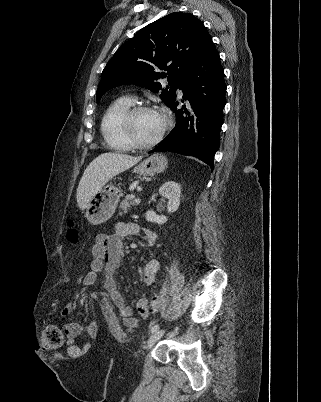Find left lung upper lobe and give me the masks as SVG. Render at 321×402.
I'll list each match as a JSON object with an SVG mask.
<instances>
[{
	"instance_id": "obj_1",
	"label": "left lung upper lobe",
	"mask_w": 321,
	"mask_h": 402,
	"mask_svg": "<svg viewBox=\"0 0 321 402\" xmlns=\"http://www.w3.org/2000/svg\"><path fill=\"white\" fill-rule=\"evenodd\" d=\"M200 20L189 13H171L139 30L122 45L102 72L97 102L109 89L137 84L152 92L169 106L178 85L210 39ZM164 70V72H159ZM160 78H168L162 89Z\"/></svg>"
}]
</instances>
